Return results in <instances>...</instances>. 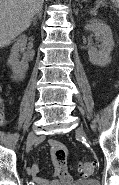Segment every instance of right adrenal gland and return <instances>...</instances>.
I'll list each match as a JSON object with an SVG mask.
<instances>
[{
	"label": "right adrenal gland",
	"mask_w": 119,
	"mask_h": 185,
	"mask_svg": "<svg viewBox=\"0 0 119 185\" xmlns=\"http://www.w3.org/2000/svg\"><path fill=\"white\" fill-rule=\"evenodd\" d=\"M37 18H39V19L41 20V18H42V10H40V11L35 15V17L32 19V22H33L34 25L36 24Z\"/></svg>",
	"instance_id": "2a0ac1e0"
}]
</instances>
